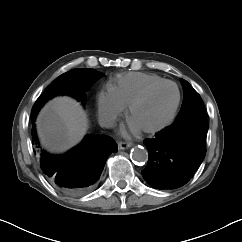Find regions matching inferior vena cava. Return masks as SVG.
I'll return each mask as SVG.
<instances>
[{
    "label": "inferior vena cava",
    "mask_w": 242,
    "mask_h": 242,
    "mask_svg": "<svg viewBox=\"0 0 242 242\" xmlns=\"http://www.w3.org/2000/svg\"><path fill=\"white\" fill-rule=\"evenodd\" d=\"M101 124L104 127H112L114 125V121L111 118H104L101 120Z\"/></svg>",
    "instance_id": "inferior-vena-cava-1"
}]
</instances>
